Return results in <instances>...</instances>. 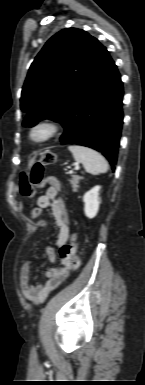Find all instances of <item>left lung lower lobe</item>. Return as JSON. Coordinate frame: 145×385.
Instances as JSON below:
<instances>
[{
    "label": "left lung lower lobe",
    "mask_w": 145,
    "mask_h": 385,
    "mask_svg": "<svg viewBox=\"0 0 145 385\" xmlns=\"http://www.w3.org/2000/svg\"><path fill=\"white\" fill-rule=\"evenodd\" d=\"M122 98L120 74L109 52L99 43L63 124L62 144L90 147L101 152L112 165L116 164L123 123Z\"/></svg>",
    "instance_id": "obj_1"
}]
</instances>
